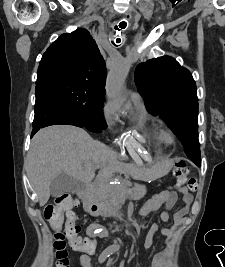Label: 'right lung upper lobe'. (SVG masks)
<instances>
[{
  "label": "right lung upper lobe",
  "mask_w": 225,
  "mask_h": 267,
  "mask_svg": "<svg viewBox=\"0 0 225 267\" xmlns=\"http://www.w3.org/2000/svg\"><path fill=\"white\" fill-rule=\"evenodd\" d=\"M51 76L82 81L105 94V62L86 29L62 34L46 50L39 64L37 80Z\"/></svg>",
  "instance_id": "right-lung-upper-lobe-1"
}]
</instances>
